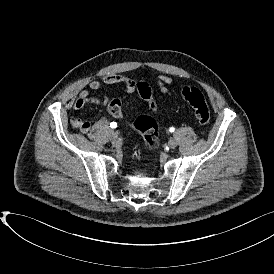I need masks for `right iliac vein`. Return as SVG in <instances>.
Returning <instances> with one entry per match:
<instances>
[{"label": "right iliac vein", "instance_id": "right-iliac-vein-1", "mask_svg": "<svg viewBox=\"0 0 274 274\" xmlns=\"http://www.w3.org/2000/svg\"><path fill=\"white\" fill-rule=\"evenodd\" d=\"M117 138H118V136L115 132L110 133L109 139L111 142L115 143L117 141Z\"/></svg>", "mask_w": 274, "mask_h": 274}]
</instances>
